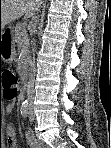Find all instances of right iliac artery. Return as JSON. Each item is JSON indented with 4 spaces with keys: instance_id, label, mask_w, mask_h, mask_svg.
<instances>
[{
    "instance_id": "82829eb1",
    "label": "right iliac artery",
    "mask_w": 111,
    "mask_h": 148,
    "mask_svg": "<svg viewBox=\"0 0 111 148\" xmlns=\"http://www.w3.org/2000/svg\"><path fill=\"white\" fill-rule=\"evenodd\" d=\"M21 114L24 116V117H27V115L29 114V105L27 102H23L22 103V106H21Z\"/></svg>"
}]
</instances>
